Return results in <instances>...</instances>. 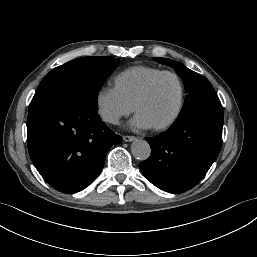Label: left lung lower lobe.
<instances>
[{
	"mask_svg": "<svg viewBox=\"0 0 257 257\" xmlns=\"http://www.w3.org/2000/svg\"><path fill=\"white\" fill-rule=\"evenodd\" d=\"M220 100L181 114L165 132L146 138L150 157L139 167L156 187L180 193L194 187L217 158L222 144Z\"/></svg>",
	"mask_w": 257,
	"mask_h": 257,
	"instance_id": "0a47b994",
	"label": "left lung lower lobe"
}]
</instances>
